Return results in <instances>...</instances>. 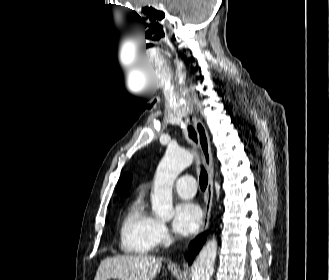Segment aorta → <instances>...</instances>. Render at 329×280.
Here are the masks:
<instances>
[{"mask_svg":"<svg viewBox=\"0 0 329 280\" xmlns=\"http://www.w3.org/2000/svg\"><path fill=\"white\" fill-rule=\"evenodd\" d=\"M193 154L189 151L168 147L159 163L151 196L152 210L163 219H171L174 215L172 188L177 176L193 162ZM217 254L215 237L209 240L200 251L191 267V280H210Z\"/></svg>","mask_w":329,"mask_h":280,"instance_id":"1","label":"aorta"}]
</instances>
